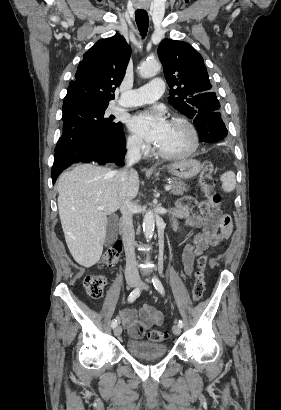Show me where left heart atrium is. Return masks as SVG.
Segmentation results:
<instances>
[{
	"label": "left heart atrium",
	"instance_id": "left-heart-atrium-1",
	"mask_svg": "<svg viewBox=\"0 0 281 410\" xmlns=\"http://www.w3.org/2000/svg\"><path fill=\"white\" fill-rule=\"evenodd\" d=\"M167 126L168 121L159 109L138 113L129 120L131 130L156 144L162 139Z\"/></svg>",
	"mask_w": 281,
	"mask_h": 410
}]
</instances>
